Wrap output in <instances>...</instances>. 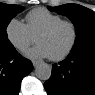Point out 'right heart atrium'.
<instances>
[{"label":"right heart atrium","mask_w":95,"mask_h":95,"mask_svg":"<svg viewBox=\"0 0 95 95\" xmlns=\"http://www.w3.org/2000/svg\"><path fill=\"white\" fill-rule=\"evenodd\" d=\"M5 33L8 41L18 51H24L35 40L34 36L29 32L26 24L17 18H13L7 23Z\"/></svg>","instance_id":"d8ad5b80"}]
</instances>
